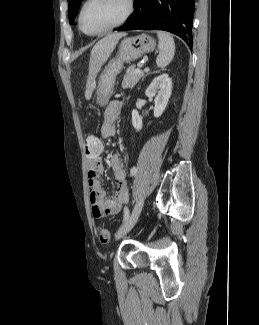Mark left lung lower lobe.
Segmentation results:
<instances>
[{
  "instance_id": "left-lung-lower-lobe-1",
  "label": "left lung lower lobe",
  "mask_w": 259,
  "mask_h": 325,
  "mask_svg": "<svg viewBox=\"0 0 259 325\" xmlns=\"http://www.w3.org/2000/svg\"><path fill=\"white\" fill-rule=\"evenodd\" d=\"M134 5L133 14L115 30H165L191 48L195 0H134Z\"/></svg>"
}]
</instances>
